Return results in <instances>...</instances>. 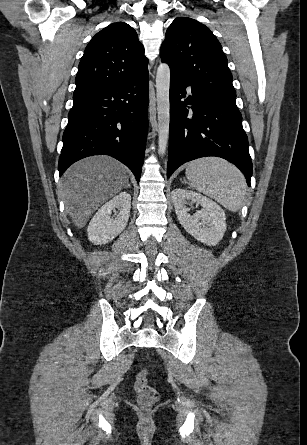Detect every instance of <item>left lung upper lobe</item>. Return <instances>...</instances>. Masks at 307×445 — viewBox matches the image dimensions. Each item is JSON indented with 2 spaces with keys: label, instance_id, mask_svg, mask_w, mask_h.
Listing matches in <instances>:
<instances>
[{
  "label": "left lung upper lobe",
  "instance_id": "1",
  "mask_svg": "<svg viewBox=\"0 0 307 445\" xmlns=\"http://www.w3.org/2000/svg\"><path fill=\"white\" fill-rule=\"evenodd\" d=\"M161 59L194 88L213 96L236 99L222 46L202 23L187 17L176 18L166 31Z\"/></svg>",
  "mask_w": 307,
  "mask_h": 445
}]
</instances>
